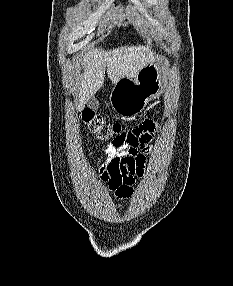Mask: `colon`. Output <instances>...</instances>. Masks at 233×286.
<instances>
[{"label": "colon", "instance_id": "5ec220e1", "mask_svg": "<svg viewBox=\"0 0 233 286\" xmlns=\"http://www.w3.org/2000/svg\"><path fill=\"white\" fill-rule=\"evenodd\" d=\"M82 119L88 126L91 133L100 140H116L123 135H129L138 132L141 124L134 127L132 130L126 128L120 123H108L101 115L96 114L91 110H85L82 113Z\"/></svg>", "mask_w": 233, "mask_h": 286}]
</instances>
